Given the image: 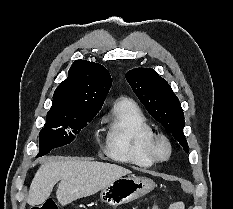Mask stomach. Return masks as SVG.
I'll return each instance as SVG.
<instances>
[{"label": "stomach", "mask_w": 233, "mask_h": 209, "mask_svg": "<svg viewBox=\"0 0 233 209\" xmlns=\"http://www.w3.org/2000/svg\"><path fill=\"white\" fill-rule=\"evenodd\" d=\"M155 186L147 177L123 176L101 190L100 200L110 206H119L148 194Z\"/></svg>", "instance_id": "obj_1"}]
</instances>
